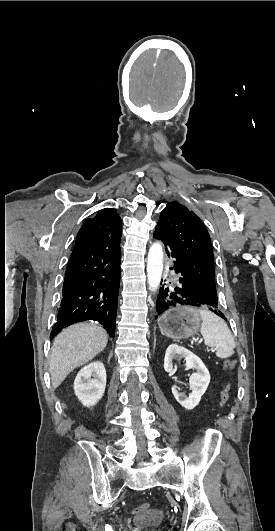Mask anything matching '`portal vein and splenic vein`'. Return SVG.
<instances>
[{
  "label": "portal vein and splenic vein",
  "instance_id": "18ae733b",
  "mask_svg": "<svg viewBox=\"0 0 275 531\" xmlns=\"http://www.w3.org/2000/svg\"><path fill=\"white\" fill-rule=\"evenodd\" d=\"M192 342H196L197 346H201L202 339H192ZM211 353H215V348H211Z\"/></svg>",
  "mask_w": 275,
  "mask_h": 531
}]
</instances>
